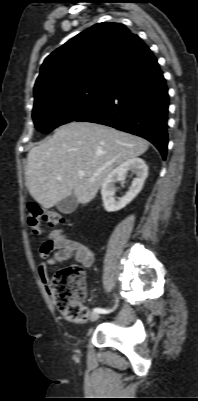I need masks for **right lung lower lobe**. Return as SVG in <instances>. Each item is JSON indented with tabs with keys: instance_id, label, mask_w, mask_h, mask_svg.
Returning <instances> with one entry per match:
<instances>
[{
	"instance_id": "obj_1",
	"label": "right lung lower lobe",
	"mask_w": 198,
	"mask_h": 401,
	"mask_svg": "<svg viewBox=\"0 0 198 401\" xmlns=\"http://www.w3.org/2000/svg\"><path fill=\"white\" fill-rule=\"evenodd\" d=\"M168 90L150 51L114 78L100 100L74 121L104 124L138 135L167 153Z\"/></svg>"
}]
</instances>
